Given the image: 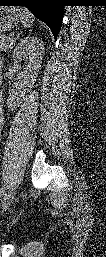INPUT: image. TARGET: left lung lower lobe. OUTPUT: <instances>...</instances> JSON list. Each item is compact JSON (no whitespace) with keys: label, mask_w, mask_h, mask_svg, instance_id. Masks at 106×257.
Listing matches in <instances>:
<instances>
[{"label":"left lung lower lobe","mask_w":106,"mask_h":257,"mask_svg":"<svg viewBox=\"0 0 106 257\" xmlns=\"http://www.w3.org/2000/svg\"><path fill=\"white\" fill-rule=\"evenodd\" d=\"M6 6H25L39 20L45 22L56 39L62 25L64 5L62 0H0Z\"/></svg>","instance_id":"left-lung-lower-lobe-1"}]
</instances>
